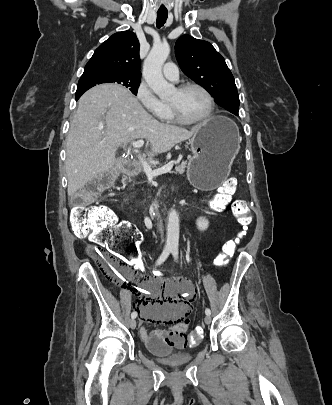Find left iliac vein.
Masks as SVG:
<instances>
[{
	"label": "left iliac vein",
	"instance_id": "obj_1",
	"mask_svg": "<svg viewBox=\"0 0 332 405\" xmlns=\"http://www.w3.org/2000/svg\"><path fill=\"white\" fill-rule=\"evenodd\" d=\"M204 322H205L206 324H210V323H211V317H210V315H206V316H205Z\"/></svg>",
	"mask_w": 332,
	"mask_h": 405
}]
</instances>
